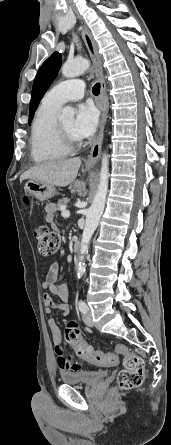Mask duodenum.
<instances>
[{
	"label": "duodenum",
	"instance_id": "410a0bca",
	"mask_svg": "<svg viewBox=\"0 0 171 445\" xmlns=\"http://www.w3.org/2000/svg\"><path fill=\"white\" fill-rule=\"evenodd\" d=\"M73 247H74V250H76V251H79V250H80V248H81V242H80V240H79L78 238H76V239L74 240Z\"/></svg>",
	"mask_w": 171,
	"mask_h": 445
}]
</instances>
